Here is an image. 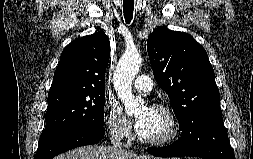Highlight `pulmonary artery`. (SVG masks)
Returning a JSON list of instances; mask_svg holds the SVG:
<instances>
[{
    "instance_id": "1",
    "label": "pulmonary artery",
    "mask_w": 253,
    "mask_h": 159,
    "mask_svg": "<svg viewBox=\"0 0 253 159\" xmlns=\"http://www.w3.org/2000/svg\"><path fill=\"white\" fill-rule=\"evenodd\" d=\"M134 88L141 93H148L153 89V84L148 75H140L134 81Z\"/></svg>"
}]
</instances>
